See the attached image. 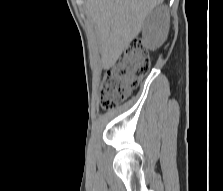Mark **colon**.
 <instances>
[{
	"label": "colon",
	"mask_w": 223,
	"mask_h": 191,
	"mask_svg": "<svg viewBox=\"0 0 223 191\" xmlns=\"http://www.w3.org/2000/svg\"><path fill=\"white\" fill-rule=\"evenodd\" d=\"M150 57L146 48L133 42L124 55L106 74L101 89V105L112 109L125 101L149 73Z\"/></svg>",
	"instance_id": "5ec220e1"
}]
</instances>
